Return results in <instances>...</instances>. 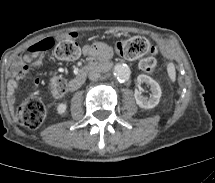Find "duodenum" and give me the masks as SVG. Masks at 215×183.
Segmentation results:
<instances>
[{
	"mask_svg": "<svg viewBox=\"0 0 215 183\" xmlns=\"http://www.w3.org/2000/svg\"><path fill=\"white\" fill-rule=\"evenodd\" d=\"M110 66V60L107 58H98L92 60L85 67L80 69L74 78H72L68 83V89L70 91L77 90L85 81L87 73L91 70H105Z\"/></svg>",
	"mask_w": 215,
	"mask_h": 183,
	"instance_id": "410a0bca",
	"label": "duodenum"
}]
</instances>
